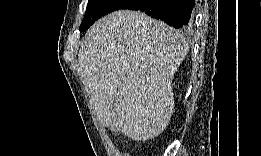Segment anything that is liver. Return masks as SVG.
I'll return each instance as SVG.
<instances>
[{
    "label": "liver",
    "mask_w": 261,
    "mask_h": 156,
    "mask_svg": "<svg viewBox=\"0 0 261 156\" xmlns=\"http://www.w3.org/2000/svg\"><path fill=\"white\" fill-rule=\"evenodd\" d=\"M188 51L179 31L138 11L95 22L78 62L99 124L135 141L160 135L174 107L172 80Z\"/></svg>",
    "instance_id": "6515ba94"
}]
</instances>
